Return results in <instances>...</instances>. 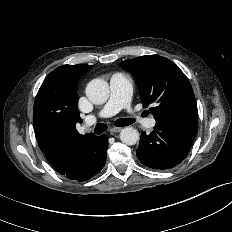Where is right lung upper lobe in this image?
<instances>
[{
	"label": "right lung upper lobe",
	"instance_id": "1",
	"mask_svg": "<svg viewBox=\"0 0 232 232\" xmlns=\"http://www.w3.org/2000/svg\"><path fill=\"white\" fill-rule=\"evenodd\" d=\"M93 66L62 65L47 75L34 102L33 123L40 149L60 173L71 164L76 147L95 135H81L76 123L79 79Z\"/></svg>",
	"mask_w": 232,
	"mask_h": 232
}]
</instances>
